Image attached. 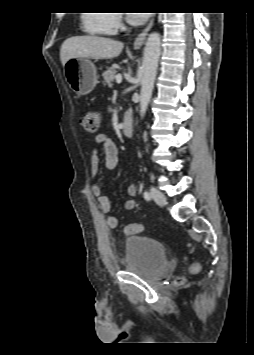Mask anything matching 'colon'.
<instances>
[{"label": "colon", "mask_w": 254, "mask_h": 355, "mask_svg": "<svg viewBox=\"0 0 254 355\" xmlns=\"http://www.w3.org/2000/svg\"><path fill=\"white\" fill-rule=\"evenodd\" d=\"M81 123L87 133L96 134L100 125L99 114L95 111H87L82 115ZM143 229L144 227L142 224L131 223L125 226L124 233L126 235H134L142 232ZM199 270H200L199 263H193L189 269L191 273H197ZM183 282H184V278H179L177 280L178 284H181Z\"/></svg>", "instance_id": "colon-1"}]
</instances>
